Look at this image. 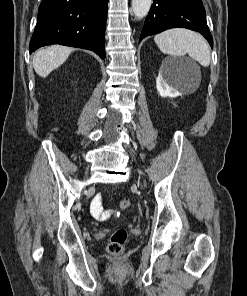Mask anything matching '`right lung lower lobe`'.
<instances>
[{"label": "right lung lower lobe", "instance_id": "1", "mask_svg": "<svg viewBox=\"0 0 247 296\" xmlns=\"http://www.w3.org/2000/svg\"><path fill=\"white\" fill-rule=\"evenodd\" d=\"M108 0H42L29 50L61 44L84 48L105 58Z\"/></svg>", "mask_w": 247, "mask_h": 296}]
</instances>
